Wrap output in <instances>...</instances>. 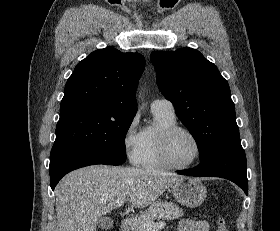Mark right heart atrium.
Here are the masks:
<instances>
[{
	"mask_svg": "<svg viewBox=\"0 0 280 231\" xmlns=\"http://www.w3.org/2000/svg\"><path fill=\"white\" fill-rule=\"evenodd\" d=\"M122 146L125 156L132 164H140L144 151V135L138 131V121L133 118L122 133Z\"/></svg>",
	"mask_w": 280,
	"mask_h": 231,
	"instance_id": "1",
	"label": "right heart atrium"
}]
</instances>
